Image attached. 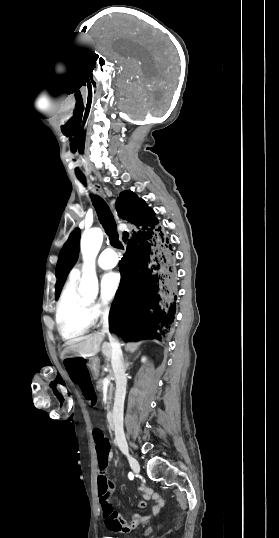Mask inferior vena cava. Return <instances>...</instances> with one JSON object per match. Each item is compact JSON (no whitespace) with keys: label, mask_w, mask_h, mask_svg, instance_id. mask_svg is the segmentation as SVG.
<instances>
[{"label":"inferior vena cava","mask_w":279,"mask_h":538,"mask_svg":"<svg viewBox=\"0 0 279 538\" xmlns=\"http://www.w3.org/2000/svg\"><path fill=\"white\" fill-rule=\"evenodd\" d=\"M108 313H109V310H104V312H100V314H103L102 319L104 321L103 330H102L103 335L109 334V338L111 340V344H109L108 346L111 345L112 347V365H113V370L115 372L114 379H116V385H117L114 410H113V415L111 416V418L113 419V423H114L113 425L115 426V435H116L115 442L117 440V444L120 447L121 451L124 452V454H126L127 457H129L130 455L128 454V445H127L124 431H123V420H122L123 419V405H124L125 392H126V382H127L126 376L128 374L127 375L124 374L125 369L123 366V362L121 361V358L123 360L122 352L120 348L122 344H120L118 339H115L116 335H110L109 330H108Z\"/></svg>","instance_id":"1"}]
</instances>
